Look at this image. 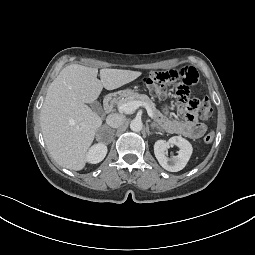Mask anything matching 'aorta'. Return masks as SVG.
<instances>
[{
	"mask_svg": "<svg viewBox=\"0 0 255 255\" xmlns=\"http://www.w3.org/2000/svg\"><path fill=\"white\" fill-rule=\"evenodd\" d=\"M143 127V123L139 119H133L130 123V129L134 132H139L141 131Z\"/></svg>",
	"mask_w": 255,
	"mask_h": 255,
	"instance_id": "obj_1",
	"label": "aorta"
}]
</instances>
